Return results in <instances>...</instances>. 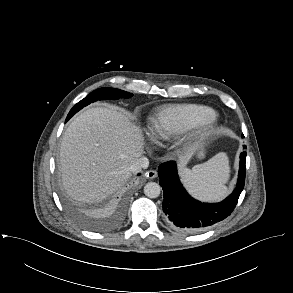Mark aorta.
Listing matches in <instances>:
<instances>
[{
    "mask_svg": "<svg viewBox=\"0 0 293 293\" xmlns=\"http://www.w3.org/2000/svg\"><path fill=\"white\" fill-rule=\"evenodd\" d=\"M161 193V187L156 182H148L144 186V194L149 198H157Z\"/></svg>",
    "mask_w": 293,
    "mask_h": 293,
    "instance_id": "762f6f07",
    "label": "aorta"
}]
</instances>
